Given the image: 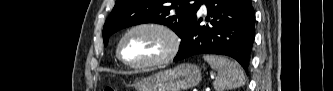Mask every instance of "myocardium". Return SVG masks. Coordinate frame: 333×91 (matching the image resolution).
I'll return each mask as SVG.
<instances>
[{"label": "myocardium", "mask_w": 333, "mask_h": 91, "mask_svg": "<svg viewBox=\"0 0 333 91\" xmlns=\"http://www.w3.org/2000/svg\"><path fill=\"white\" fill-rule=\"evenodd\" d=\"M138 30H153L161 33L162 35L165 36V38L168 41V49L166 53L157 59L146 61V62H141V63H132L126 60L124 57L123 49H124V43L127 39V37L132 34L135 31ZM181 45V39L178 33L174 28L171 26L164 24V23H159V22H145V23H139L136 24L132 27H130L121 37L119 43H118V48H117V56L119 60L125 64L126 66L134 69H146L150 67H156L160 66L163 64H166L173 60L176 55L178 54V51L180 49Z\"/></svg>", "instance_id": "obj_1"}]
</instances>
